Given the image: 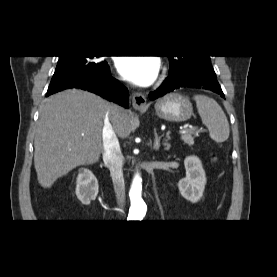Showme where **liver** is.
<instances>
[{
	"label": "liver",
	"mask_w": 277,
	"mask_h": 277,
	"mask_svg": "<svg viewBox=\"0 0 277 277\" xmlns=\"http://www.w3.org/2000/svg\"><path fill=\"white\" fill-rule=\"evenodd\" d=\"M109 112L118 136H129L127 111L95 94L68 89L41 104L34 140V166L43 188H50L77 166L99 160L104 119Z\"/></svg>",
	"instance_id": "1"
}]
</instances>
